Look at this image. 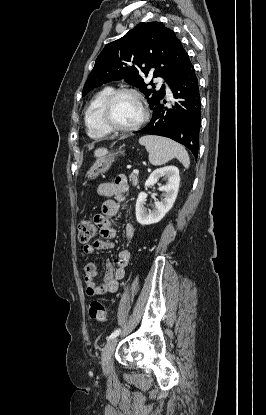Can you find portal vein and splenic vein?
<instances>
[{"instance_id": "obj_1", "label": "portal vein and splenic vein", "mask_w": 266, "mask_h": 415, "mask_svg": "<svg viewBox=\"0 0 266 415\" xmlns=\"http://www.w3.org/2000/svg\"><path fill=\"white\" fill-rule=\"evenodd\" d=\"M138 173H139L138 169H134L133 172H132V174H138Z\"/></svg>"}]
</instances>
